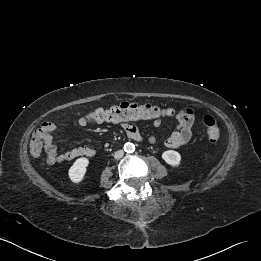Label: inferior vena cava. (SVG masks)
Returning a JSON list of instances; mask_svg holds the SVG:
<instances>
[{
  "label": "inferior vena cava",
  "mask_w": 261,
  "mask_h": 261,
  "mask_svg": "<svg viewBox=\"0 0 261 261\" xmlns=\"http://www.w3.org/2000/svg\"><path fill=\"white\" fill-rule=\"evenodd\" d=\"M124 155V151L123 150H119V151H116L115 154H114V158L115 159H121Z\"/></svg>",
  "instance_id": "inferior-vena-cava-1"
}]
</instances>
